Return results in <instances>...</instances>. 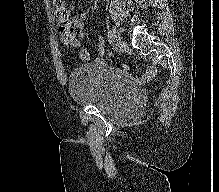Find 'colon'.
Masks as SVG:
<instances>
[{
  "label": "colon",
  "mask_w": 219,
  "mask_h": 192,
  "mask_svg": "<svg viewBox=\"0 0 219 192\" xmlns=\"http://www.w3.org/2000/svg\"><path fill=\"white\" fill-rule=\"evenodd\" d=\"M53 2L57 8H61L63 6L64 0H53ZM58 28L59 30H66L68 28V22L65 20V18H61L58 21Z\"/></svg>",
  "instance_id": "5ec220e1"
}]
</instances>
